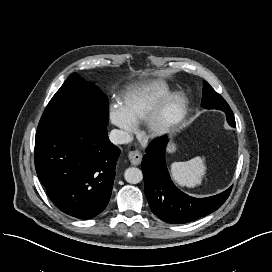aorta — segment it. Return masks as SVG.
<instances>
[{
	"mask_svg": "<svg viewBox=\"0 0 272 272\" xmlns=\"http://www.w3.org/2000/svg\"><path fill=\"white\" fill-rule=\"evenodd\" d=\"M124 178L130 184H137L142 181L143 174L139 168L130 167L125 170Z\"/></svg>",
	"mask_w": 272,
	"mask_h": 272,
	"instance_id": "aorta-1",
	"label": "aorta"
}]
</instances>
